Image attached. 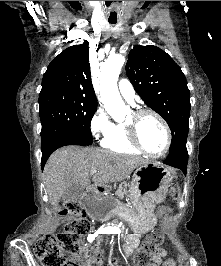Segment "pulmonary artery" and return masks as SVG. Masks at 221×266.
<instances>
[{
  "mask_svg": "<svg viewBox=\"0 0 221 266\" xmlns=\"http://www.w3.org/2000/svg\"><path fill=\"white\" fill-rule=\"evenodd\" d=\"M118 89L125 100L129 103H134L135 90L130 81L122 79L118 84Z\"/></svg>",
  "mask_w": 221,
  "mask_h": 266,
  "instance_id": "1",
  "label": "pulmonary artery"
}]
</instances>
